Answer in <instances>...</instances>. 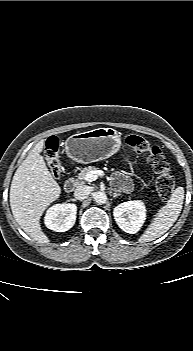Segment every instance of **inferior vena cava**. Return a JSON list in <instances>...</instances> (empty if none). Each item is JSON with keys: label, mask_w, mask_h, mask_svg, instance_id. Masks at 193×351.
I'll return each mask as SVG.
<instances>
[{"label": "inferior vena cava", "mask_w": 193, "mask_h": 351, "mask_svg": "<svg viewBox=\"0 0 193 351\" xmlns=\"http://www.w3.org/2000/svg\"><path fill=\"white\" fill-rule=\"evenodd\" d=\"M90 187L86 185L78 186L74 191V196L77 200H84L90 194Z\"/></svg>", "instance_id": "inferior-vena-cava-1"}]
</instances>
